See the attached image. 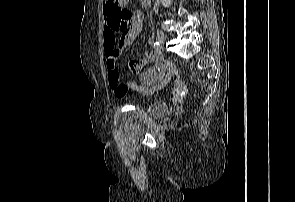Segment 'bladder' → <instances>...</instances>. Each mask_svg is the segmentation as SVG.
<instances>
[{
    "label": "bladder",
    "mask_w": 295,
    "mask_h": 202,
    "mask_svg": "<svg viewBox=\"0 0 295 202\" xmlns=\"http://www.w3.org/2000/svg\"><path fill=\"white\" fill-rule=\"evenodd\" d=\"M146 113L149 117L158 119L168 114V106L160 100H155L147 105Z\"/></svg>",
    "instance_id": "obj_1"
}]
</instances>
